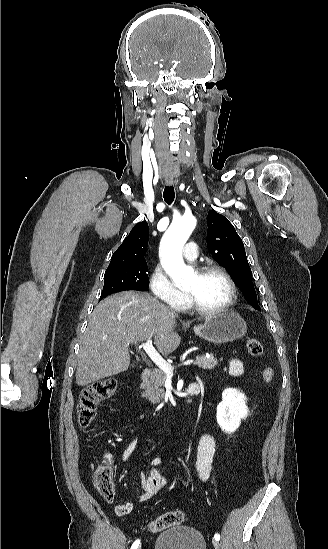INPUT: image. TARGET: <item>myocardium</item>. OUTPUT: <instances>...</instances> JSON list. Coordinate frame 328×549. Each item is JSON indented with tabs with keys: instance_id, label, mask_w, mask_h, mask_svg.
<instances>
[{
	"instance_id": "f54148a6",
	"label": "myocardium",
	"mask_w": 328,
	"mask_h": 549,
	"mask_svg": "<svg viewBox=\"0 0 328 549\" xmlns=\"http://www.w3.org/2000/svg\"><path fill=\"white\" fill-rule=\"evenodd\" d=\"M188 268L193 269L197 275H203L207 272L218 271L227 280L229 285L228 299L220 306L212 309L203 308L200 303L187 291H183L187 300V307L202 317L221 315L233 306L237 298V284L227 270V267L219 262L215 261H201L195 263H189L186 265Z\"/></svg>"
}]
</instances>
